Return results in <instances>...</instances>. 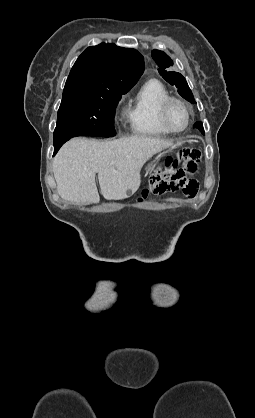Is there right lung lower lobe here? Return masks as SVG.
Wrapping results in <instances>:
<instances>
[{
    "mask_svg": "<svg viewBox=\"0 0 255 418\" xmlns=\"http://www.w3.org/2000/svg\"><path fill=\"white\" fill-rule=\"evenodd\" d=\"M68 140H69V138H66V139H62V140L54 142V155L57 153V151L60 149V147Z\"/></svg>",
    "mask_w": 255,
    "mask_h": 418,
    "instance_id": "98d812e1",
    "label": "right lung lower lobe"
}]
</instances>
